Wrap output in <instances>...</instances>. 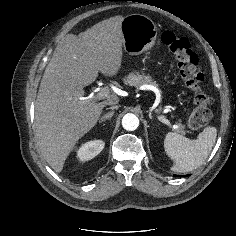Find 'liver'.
<instances>
[{"instance_id": "1", "label": "liver", "mask_w": 236, "mask_h": 236, "mask_svg": "<svg viewBox=\"0 0 236 236\" xmlns=\"http://www.w3.org/2000/svg\"><path fill=\"white\" fill-rule=\"evenodd\" d=\"M123 16L103 20L76 36L67 34L48 63L35 103V126L41 153L57 173L76 142L97 123L105 105L118 102L109 95L102 102L84 99V87L98 72L115 76L122 65Z\"/></svg>"}]
</instances>
